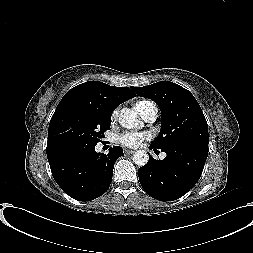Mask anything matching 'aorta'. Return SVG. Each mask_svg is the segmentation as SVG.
<instances>
[{
  "label": "aorta",
  "mask_w": 253,
  "mask_h": 253,
  "mask_svg": "<svg viewBox=\"0 0 253 253\" xmlns=\"http://www.w3.org/2000/svg\"><path fill=\"white\" fill-rule=\"evenodd\" d=\"M119 123L122 127L127 129L142 127V121L140 120L137 112L130 108H123L119 115ZM149 160V155L145 150H138L133 155V162L138 166H144Z\"/></svg>",
  "instance_id": "762f6f07"
}]
</instances>
